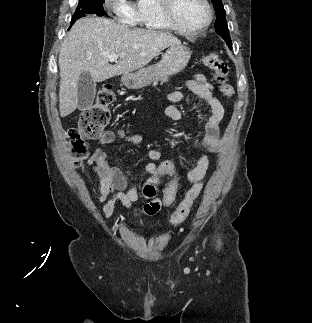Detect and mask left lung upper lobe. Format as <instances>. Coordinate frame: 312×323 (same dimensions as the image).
<instances>
[{"label": "left lung upper lobe", "mask_w": 312, "mask_h": 323, "mask_svg": "<svg viewBox=\"0 0 312 323\" xmlns=\"http://www.w3.org/2000/svg\"><path fill=\"white\" fill-rule=\"evenodd\" d=\"M216 14H217V20L215 29L216 31L222 36V38L227 42L229 48L232 46V41L229 35V29L226 22V12L224 10L223 4L221 0H211Z\"/></svg>", "instance_id": "obj_1"}]
</instances>
